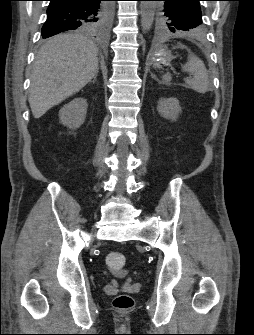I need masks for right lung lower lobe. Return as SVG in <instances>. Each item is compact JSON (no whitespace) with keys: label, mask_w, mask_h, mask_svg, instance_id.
I'll list each match as a JSON object with an SVG mask.
<instances>
[{"label":"right lung lower lobe","mask_w":254,"mask_h":335,"mask_svg":"<svg viewBox=\"0 0 254 335\" xmlns=\"http://www.w3.org/2000/svg\"><path fill=\"white\" fill-rule=\"evenodd\" d=\"M42 37L48 38L67 30L90 31L98 21L103 0H49Z\"/></svg>","instance_id":"right-lung-lower-lobe-1"}]
</instances>
